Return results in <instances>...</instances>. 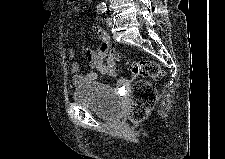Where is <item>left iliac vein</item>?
Listing matches in <instances>:
<instances>
[{"label":"left iliac vein","instance_id":"1","mask_svg":"<svg viewBox=\"0 0 225 159\" xmlns=\"http://www.w3.org/2000/svg\"><path fill=\"white\" fill-rule=\"evenodd\" d=\"M106 25L108 27H111L112 26V18L111 17H108L107 20H106Z\"/></svg>","mask_w":225,"mask_h":159}]
</instances>
